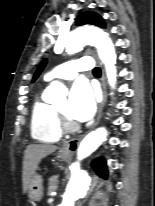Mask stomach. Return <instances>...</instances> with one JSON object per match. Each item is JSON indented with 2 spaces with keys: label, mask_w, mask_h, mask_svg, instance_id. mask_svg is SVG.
Listing matches in <instances>:
<instances>
[{
  "label": "stomach",
  "mask_w": 155,
  "mask_h": 206,
  "mask_svg": "<svg viewBox=\"0 0 155 206\" xmlns=\"http://www.w3.org/2000/svg\"><path fill=\"white\" fill-rule=\"evenodd\" d=\"M59 158L66 161L70 158V154L64 151L59 152ZM42 177L34 174L28 186V196L32 201H40L43 196Z\"/></svg>",
  "instance_id": "0dacf381"
}]
</instances>
